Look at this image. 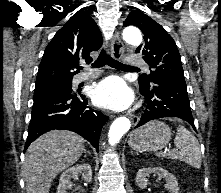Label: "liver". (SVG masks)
I'll return each instance as SVG.
<instances>
[{
    "label": "liver",
    "instance_id": "liver-1",
    "mask_svg": "<svg viewBox=\"0 0 221 193\" xmlns=\"http://www.w3.org/2000/svg\"><path fill=\"white\" fill-rule=\"evenodd\" d=\"M83 151V138L74 132L51 130L40 136L28 147L23 163L27 193H49L53 179Z\"/></svg>",
    "mask_w": 221,
    "mask_h": 193
}]
</instances>
